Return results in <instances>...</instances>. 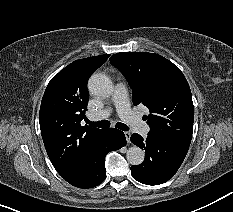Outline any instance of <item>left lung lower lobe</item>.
I'll list each match as a JSON object with an SVG mask.
<instances>
[{
	"label": "left lung lower lobe",
	"mask_w": 233,
	"mask_h": 212,
	"mask_svg": "<svg viewBox=\"0 0 233 212\" xmlns=\"http://www.w3.org/2000/svg\"><path fill=\"white\" fill-rule=\"evenodd\" d=\"M131 142L145 150L144 162L131 166V174L134 179L147 185H159L168 181L179 169L189 149L188 145L149 134L144 140L134 133Z\"/></svg>",
	"instance_id": "1"
}]
</instances>
